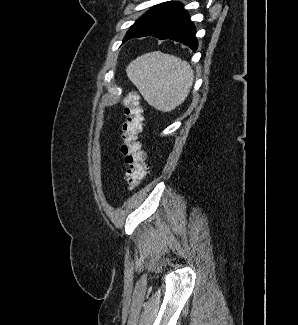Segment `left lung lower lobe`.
<instances>
[{"label":"left lung lower lobe","mask_w":298,"mask_h":325,"mask_svg":"<svg viewBox=\"0 0 298 325\" xmlns=\"http://www.w3.org/2000/svg\"><path fill=\"white\" fill-rule=\"evenodd\" d=\"M196 29L180 2H164L153 7L130 30L123 43L131 38L154 36L172 39L189 46L198 47Z\"/></svg>","instance_id":"obj_1"}]
</instances>
